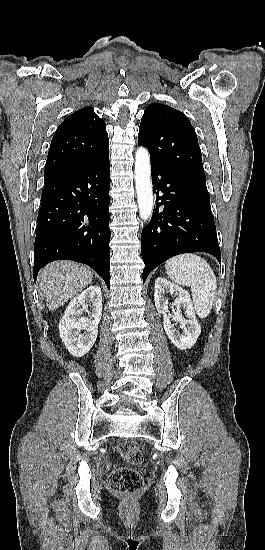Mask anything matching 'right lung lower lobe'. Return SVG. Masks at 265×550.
<instances>
[{"mask_svg": "<svg viewBox=\"0 0 265 550\" xmlns=\"http://www.w3.org/2000/svg\"><path fill=\"white\" fill-rule=\"evenodd\" d=\"M33 276L55 260L89 265L109 287V155L44 177Z\"/></svg>", "mask_w": 265, "mask_h": 550, "instance_id": "1", "label": "right lung lower lobe"}]
</instances>
